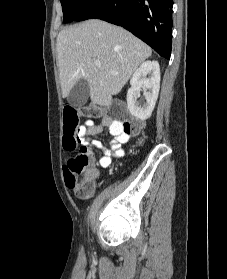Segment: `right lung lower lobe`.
Masks as SVG:
<instances>
[{
    "instance_id": "98d812e1",
    "label": "right lung lower lobe",
    "mask_w": 227,
    "mask_h": 279,
    "mask_svg": "<svg viewBox=\"0 0 227 279\" xmlns=\"http://www.w3.org/2000/svg\"><path fill=\"white\" fill-rule=\"evenodd\" d=\"M173 0H90L74 21L97 18L119 25L170 59Z\"/></svg>"
}]
</instances>
